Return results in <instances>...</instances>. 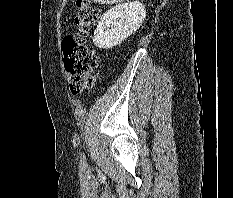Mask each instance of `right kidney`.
<instances>
[{
  "mask_svg": "<svg viewBox=\"0 0 233 198\" xmlns=\"http://www.w3.org/2000/svg\"><path fill=\"white\" fill-rule=\"evenodd\" d=\"M145 17V7L139 1L110 8L102 15L97 25L94 45L99 49H110L119 45L142 25Z\"/></svg>",
  "mask_w": 233,
  "mask_h": 198,
  "instance_id": "obj_1",
  "label": "right kidney"
}]
</instances>
